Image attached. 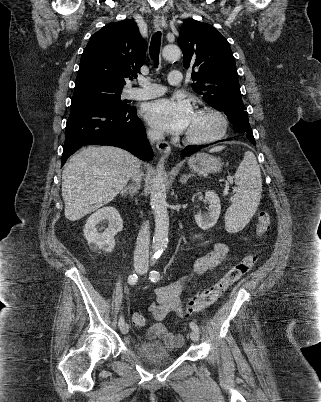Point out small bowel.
<instances>
[{
	"label": "small bowel",
	"instance_id": "small-bowel-1",
	"mask_svg": "<svg viewBox=\"0 0 321 402\" xmlns=\"http://www.w3.org/2000/svg\"><path fill=\"white\" fill-rule=\"evenodd\" d=\"M194 240L200 242L202 236L195 234ZM229 249L224 242H217L213 249L208 253L198 257L193 265L190 275L184 276L179 280L159 286L155 289V302L151 304L149 310L152 317L157 321L149 327L147 333L149 339H159L168 347H176L182 343V336L178 333L170 332L162 321L169 314L185 316L187 313L183 308L180 297L186 287L190 277L203 275L219 267L228 257Z\"/></svg>",
	"mask_w": 321,
	"mask_h": 402
}]
</instances>
